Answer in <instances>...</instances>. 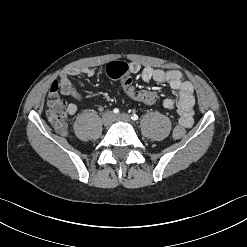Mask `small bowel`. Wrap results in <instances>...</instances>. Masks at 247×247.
Returning a JSON list of instances; mask_svg holds the SVG:
<instances>
[{
	"label": "small bowel",
	"mask_w": 247,
	"mask_h": 247,
	"mask_svg": "<svg viewBox=\"0 0 247 247\" xmlns=\"http://www.w3.org/2000/svg\"><path fill=\"white\" fill-rule=\"evenodd\" d=\"M128 69L130 74L140 73L142 80L145 82L155 81L157 83H166L172 91L177 92L178 99H164L163 107L168 111L176 110L179 115V121L184 127L192 126L195 104L193 87L189 81L184 79L180 71L151 67L141 68V66L135 62L130 63ZM94 74L95 71L92 68H71L52 84L51 89L57 90L62 95L84 100L85 96L73 85L71 78L79 76L92 77ZM66 107L69 115H74L77 111L75 104H68Z\"/></svg>",
	"instance_id": "c3829d8e"
}]
</instances>
